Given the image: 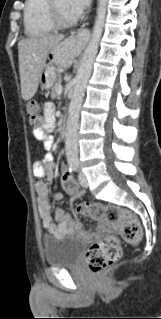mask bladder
<instances>
[{"label": "bladder", "mask_w": 161, "mask_h": 319, "mask_svg": "<svg viewBox=\"0 0 161 319\" xmlns=\"http://www.w3.org/2000/svg\"><path fill=\"white\" fill-rule=\"evenodd\" d=\"M84 243L74 236L46 235L43 240L44 263L47 266L74 265L82 256Z\"/></svg>", "instance_id": "bladder-1"}]
</instances>
